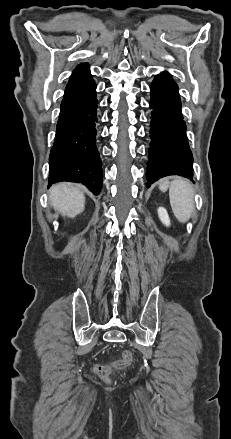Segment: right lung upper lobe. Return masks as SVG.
Wrapping results in <instances>:
<instances>
[{
    "label": "right lung upper lobe",
    "instance_id": "cb5924a9",
    "mask_svg": "<svg viewBox=\"0 0 231 439\" xmlns=\"http://www.w3.org/2000/svg\"><path fill=\"white\" fill-rule=\"evenodd\" d=\"M89 77H91L90 71H89V66L87 63H82L80 65H78L76 67V69L74 70L67 86L66 89L69 87H72L80 82L85 81L86 79H88Z\"/></svg>",
    "mask_w": 231,
    "mask_h": 439
}]
</instances>
